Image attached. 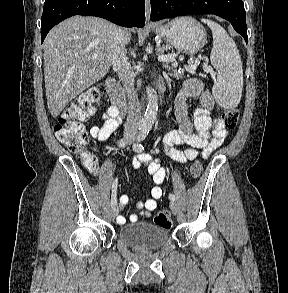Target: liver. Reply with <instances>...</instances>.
Returning a JSON list of instances; mask_svg holds the SVG:
<instances>
[{
	"label": "liver",
	"mask_w": 288,
	"mask_h": 293,
	"mask_svg": "<svg viewBox=\"0 0 288 293\" xmlns=\"http://www.w3.org/2000/svg\"><path fill=\"white\" fill-rule=\"evenodd\" d=\"M118 29L104 19L77 15L50 30L44 41V81L53 117L108 73ZM130 39L125 30V45Z\"/></svg>",
	"instance_id": "1"
}]
</instances>
